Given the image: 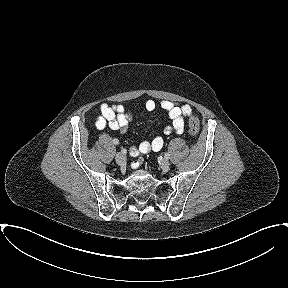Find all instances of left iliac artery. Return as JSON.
<instances>
[{"label":"left iliac artery","mask_w":288,"mask_h":288,"mask_svg":"<svg viewBox=\"0 0 288 288\" xmlns=\"http://www.w3.org/2000/svg\"><path fill=\"white\" fill-rule=\"evenodd\" d=\"M169 153H165V155H164V157L166 158V159H168L169 158Z\"/></svg>","instance_id":"44dca946"}]
</instances>
